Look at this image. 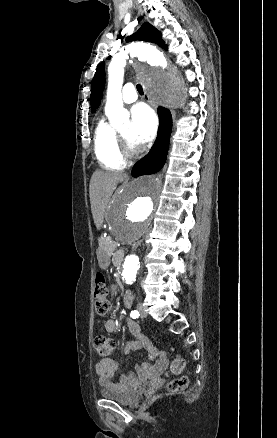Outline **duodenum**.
I'll list each match as a JSON object with an SVG mask.
<instances>
[{
  "mask_svg": "<svg viewBox=\"0 0 277 438\" xmlns=\"http://www.w3.org/2000/svg\"><path fill=\"white\" fill-rule=\"evenodd\" d=\"M125 258V253L123 251H116L113 260L116 266H121Z\"/></svg>",
  "mask_w": 277,
  "mask_h": 438,
  "instance_id": "obj_1",
  "label": "duodenum"
}]
</instances>
